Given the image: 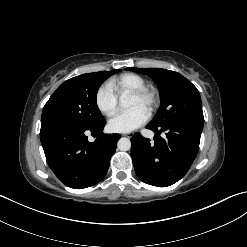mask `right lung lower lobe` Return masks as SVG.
<instances>
[{
  "mask_svg": "<svg viewBox=\"0 0 247 247\" xmlns=\"http://www.w3.org/2000/svg\"><path fill=\"white\" fill-rule=\"evenodd\" d=\"M106 120L92 127L58 124L41 128L40 140L47 163L66 186L83 189L106 175L119 134H103ZM98 136L89 142L86 133Z\"/></svg>",
  "mask_w": 247,
  "mask_h": 247,
  "instance_id": "98d812e1",
  "label": "right lung lower lobe"
}]
</instances>
